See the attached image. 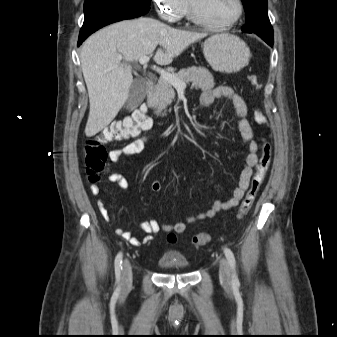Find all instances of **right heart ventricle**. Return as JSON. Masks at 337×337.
I'll return each instance as SVG.
<instances>
[{
	"instance_id": "e07e8e85",
	"label": "right heart ventricle",
	"mask_w": 337,
	"mask_h": 337,
	"mask_svg": "<svg viewBox=\"0 0 337 337\" xmlns=\"http://www.w3.org/2000/svg\"><path fill=\"white\" fill-rule=\"evenodd\" d=\"M184 16H189V13H188V10H187V8H186V10H185V12H184V14H183Z\"/></svg>"
}]
</instances>
